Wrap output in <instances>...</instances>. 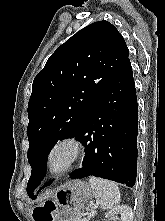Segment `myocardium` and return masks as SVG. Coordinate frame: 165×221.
I'll list each match as a JSON object with an SVG mask.
<instances>
[{
    "label": "myocardium",
    "mask_w": 165,
    "mask_h": 221,
    "mask_svg": "<svg viewBox=\"0 0 165 221\" xmlns=\"http://www.w3.org/2000/svg\"><path fill=\"white\" fill-rule=\"evenodd\" d=\"M62 146H67L71 150V158L68 164L62 169H54L51 164V157L54 151ZM84 152L83 142L74 135H66L56 139L49 147L46 154V164L52 174L61 175L71 171L79 162Z\"/></svg>",
    "instance_id": "obj_1"
}]
</instances>
